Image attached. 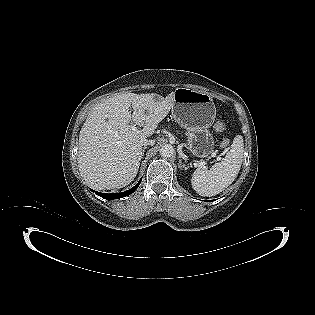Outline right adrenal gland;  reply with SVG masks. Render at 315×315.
Masks as SVG:
<instances>
[{
    "label": "right adrenal gland",
    "instance_id": "1",
    "mask_svg": "<svg viewBox=\"0 0 315 315\" xmlns=\"http://www.w3.org/2000/svg\"><path fill=\"white\" fill-rule=\"evenodd\" d=\"M147 147L145 146V147H143V152H142V156H144V152H145V149H146Z\"/></svg>",
    "mask_w": 315,
    "mask_h": 315
}]
</instances>
